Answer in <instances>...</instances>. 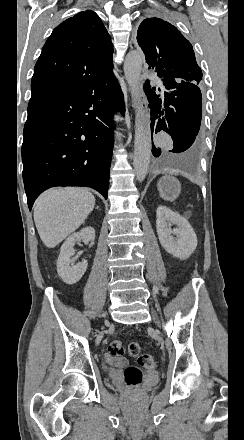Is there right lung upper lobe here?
I'll return each mask as SVG.
<instances>
[{"label":"right lung upper lobe","mask_w":244,"mask_h":440,"mask_svg":"<svg viewBox=\"0 0 244 440\" xmlns=\"http://www.w3.org/2000/svg\"><path fill=\"white\" fill-rule=\"evenodd\" d=\"M113 45L100 17L79 12L57 26L35 65L31 90L39 91L112 70Z\"/></svg>","instance_id":"right-lung-upper-lobe-1"}]
</instances>
